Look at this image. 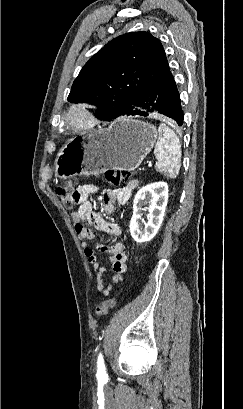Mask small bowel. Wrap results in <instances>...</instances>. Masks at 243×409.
I'll use <instances>...</instances> for the list:
<instances>
[{"instance_id":"1","label":"small bowel","mask_w":243,"mask_h":409,"mask_svg":"<svg viewBox=\"0 0 243 409\" xmlns=\"http://www.w3.org/2000/svg\"><path fill=\"white\" fill-rule=\"evenodd\" d=\"M138 185V180L134 179L127 184L106 193L103 197V207L105 212L108 214L115 212L116 203H126L130 199L132 191L137 188ZM96 191L97 188L94 185H83L76 189L80 206L78 210L72 213V220L75 224V230L79 235V238L82 240L85 256L95 271L96 289L103 296H108L113 290L114 285L123 280V273L127 270V256L120 243H115L110 246L97 244L96 248L89 245V242L94 239V234L92 230L87 228V226L94 227L95 229L106 232L110 235L118 237L122 235V231L117 224L105 221L101 215L93 210L89 197ZM96 250L107 253L110 257L111 266L114 271L112 283L105 285L103 282V276L107 269L98 262Z\"/></svg>"}]
</instances>
